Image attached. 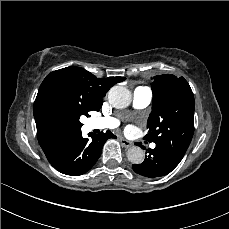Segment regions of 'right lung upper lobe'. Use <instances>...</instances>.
<instances>
[{"label":"right lung upper lobe","instance_id":"right-lung-upper-lobe-1","mask_svg":"<svg viewBox=\"0 0 229 229\" xmlns=\"http://www.w3.org/2000/svg\"><path fill=\"white\" fill-rule=\"evenodd\" d=\"M125 80L124 77L97 78L83 68L70 66L51 72L43 80L36 100L33 113L37 126V138L46 157L70 136H56L48 132L41 124L39 117V104L43 97L53 90H63L78 97L91 111H99L102 98L116 83Z\"/></svg>","mask_w":229,"mask_h":229}]
</instances>
